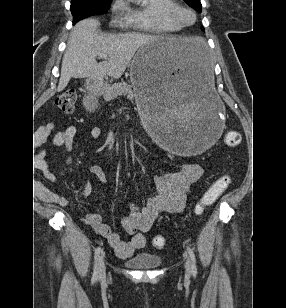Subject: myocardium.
I'll use <instances>...</instances> for the list:
<instances>
[{
	"mask_svg": "<svg viewBox=\"0 0 286 308\" xmlns=\"http://www.w3.org/2000/svg\"><path fill=\"white\" fill-rule=\"evenodd\" d=\"M184 13H189L192 16L193 19H192L191 22H187V21L184 20V18H183ZM166 14L171 19L176 21L179 25H181L182 27L191 26L197 21V15H196L195 11L193 9L181 4V3H178V2H176L174 5L169 7L166 10Z\"/></svg>",
	"mask_w": 286,
	"mask_h": 308,
	"instance_id": "1",
	"label": "myocardium"
}]
</instances>
